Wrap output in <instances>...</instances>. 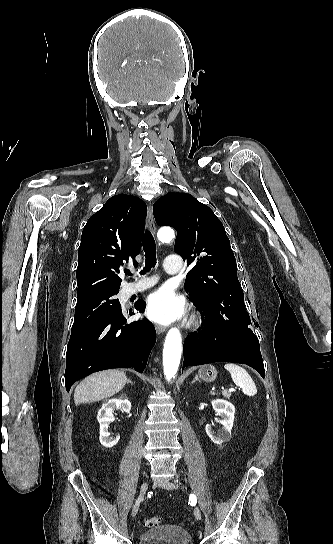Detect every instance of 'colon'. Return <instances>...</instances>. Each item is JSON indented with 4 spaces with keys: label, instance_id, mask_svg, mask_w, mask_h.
Segmentation results:
<instances>
[{
    "label": "colon",
    "instance_id": "obj_1",
    "mask_svg": "<svg viewBox=\"0 0 333 544\" xmlns=\"http://www.w3.org/2000/svg\"><path fill=\"white\" fill-rule=\"evenodd\" d=\"M161 523H162V518L159 516L150 517L144 521V525L148 528L156 527L160 525Z\"/></svg>",
    "mask_w": 333,
    "mask_h": 544
}]
</instances>
